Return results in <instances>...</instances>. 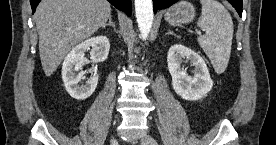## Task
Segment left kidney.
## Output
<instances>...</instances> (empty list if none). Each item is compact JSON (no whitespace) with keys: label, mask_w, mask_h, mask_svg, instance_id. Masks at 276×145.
Wrapping results in <instances>:
<instances>
[{"label":"left kidney","mask_w":276,"mask_h":145,"mask_svg":"<svg viewBox=\"0 0 276 145\" xmlns=\"http://www.w3.org/2000/svg\"><path fill=\"white\" fill-rule=\"evenodd\" d=\"M184 59L190 60L195 66L192 76L181 66ZM167 64L173 89L182 99L199 100L212 89L213 81L205 61L190 48L181 44L172 45L167 54Z\"/></svg>","instance_id":"5707ae66"}]
</instances>
